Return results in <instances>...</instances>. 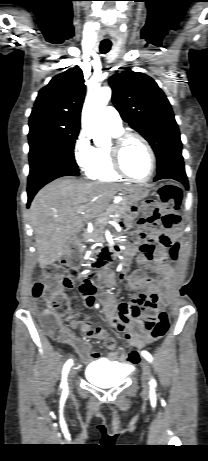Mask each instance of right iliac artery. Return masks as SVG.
<instances>
[{
  "label": "right iliac artery",
  "instance_id": "1",
  "mask_svg": "<svg viewBox=\"0 0 208 461\" xmlns=\"http://www.w3.org/2000/svg\"><path fill=\"white\" fill-rule=\"evenodd\" d=\"M72 363H73V361H72L71 359L68 360V361L65 363L64 368H63L61 388H64L65 391L67 390L66 377H67L68 371H69V369H70Z\"/></svg>",
  "mask_w": 208,
  "mask_h": 461
}]
</instances>
